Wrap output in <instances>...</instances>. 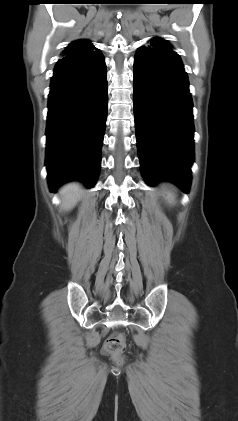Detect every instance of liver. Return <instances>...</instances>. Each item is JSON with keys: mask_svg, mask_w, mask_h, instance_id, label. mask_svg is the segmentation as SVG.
Returning <instances> with one entry per match:
<instances>
[{"mask_svg": "<svg viewBox=\"0 0 238 421\" xmlns=\"http://www.w3.org/2000/svg\"><path fill=\"white\" fill-rule=\"evenodd\" d=\"M82 194V188L78 183H70L60 190L62 197V207L66 210L73 208L79 201Z\"/></svg>", "mask_w": 238, "mask_h": 421, "instance_id": "obj_1", "label": "liver"}]
</instances>
